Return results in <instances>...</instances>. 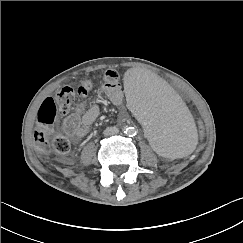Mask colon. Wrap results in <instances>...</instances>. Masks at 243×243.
<instances>
[{
	"mask_svg": "<svg viewBox=\"0 0 243 243\" xmlns=\"http://www.w3.org/2000/svg\"><path fill=\"white\" fill-rule=\"evenodd\" d=\"M92 90L88 81L81 82L76 88L64 87L58 90L54 96L43 101L38 112V124L33 132L35 149L39 152H46L49 148V139L53 136V124L58 113H66L71 108L76 98L87 97ZM194 117L197 131V145L195 152L201 153L204 149L205 126L200 112L196 107L190 108ZM52 147L55 151L65 154L70 150V140L63 135L52 137Z\"/></svg>",
	"mask_w": 243,
	"mask_h": 243,
	"instance_id": "5ec220e1",
	"label": "colon"
}]
</instances>
